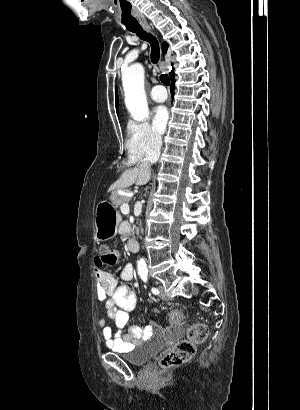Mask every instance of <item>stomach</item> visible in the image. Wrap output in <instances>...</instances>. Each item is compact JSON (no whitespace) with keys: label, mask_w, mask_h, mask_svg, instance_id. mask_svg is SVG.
Masks as SVG:
<instances>
[{"label":"stomach","mask_w":300,"mask_h":410,"mask_svg":"<svg viewBox=\"0 0 300 410\" xmlns=\"http://www.w3.org/2000/svg\"><path fill=\"white\" fill-rule=\"evenodd\" d=\"M118 192L113 191L111 194L112 203L101 202L96 209L95 214V236L98 241H106L117 234L121 216L116 209L115 200Z\"/></svg>","instance_id":"stomach-1"}]
</instances>
